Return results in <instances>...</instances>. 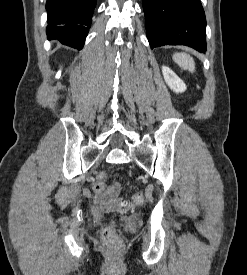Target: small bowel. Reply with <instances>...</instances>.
I'll use <instances>...</instances> for the list:
<instances>
[{"label":"small bowel","instance_id":"c3829d8e","mask_svg":"<svg viewBox=\"0 0 247 275\" xmlns=\"http://www.w3.org/2000/svg\"><path fill=\"white\" fill-rule=\"evenodd\" d=\"M97 195V201L108 209H120L124 207V202L118 198V186L114 185L109 189L97 190L94 187Z\"/></svg>","mask_w":247,"mask_h":275}]
</instances>
